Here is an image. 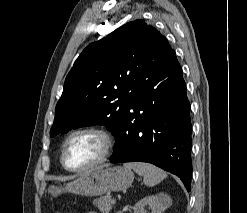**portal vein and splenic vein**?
<instances>
[{"label":"portal vein and splenic vein","mask_w":247,"mask_h":213,"mask_svg":"<svg viewBox=\"0 0 247 213\" xmlns=\"http://www.w3.org/2000/svg\"><path fill=\"white\" fill-rule=\"evenodd\" d=\"M111 202H112V204H115L116 203V199L113 198Z\"/></svg>","instance_id":"18ae733b"}]
</instances>
